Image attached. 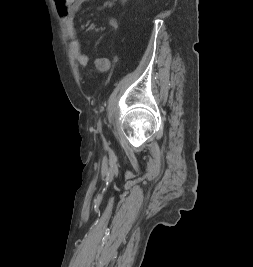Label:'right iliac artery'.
<instances>
[{
	"instance_id": "1",
	"label": "right iliac artery",
	"mask_w": 253,
	"mask_h": 267,
	"mask_svg": "<svg viewBox=\"0 0 253 267\" xmlns=\"http://www.w3.org/2000/svg\"><path fill=\"white\" fill-rule=\"evenodd\" d=\"M99 131L101 132V127L99 128Z\"/></svg>"
}]
</instances>
